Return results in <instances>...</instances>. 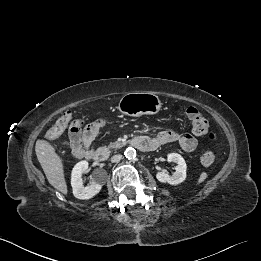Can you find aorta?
Returning a JSON list of instances; mask_svg holds the SVG:
<instances>
[{"label": "aorta", "mask_w": 261, "mask_h": 261, "mask_svg": "<svg viewBox=\"0 0 261 261\" xmlns=\"http://www.w3.org/2000/svg\"><path fill=\"white\" fill-rule=\"evenodd\" d=\"M124 155L127 159H134L136 157V150L132 147L126 148Z\"/></svg>", "instance_id": "obj_1"}]
</instances>
